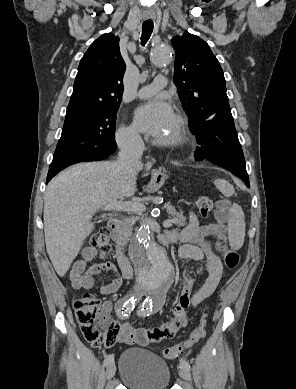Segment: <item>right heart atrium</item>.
Returning <instances> with one entry per match:
<instances>
[{
    "instance_id": "obj_1",
    "label": "right heart atrium",
    "mask_w": 296,
    "mask_h": 389,
    "mask_svg": "<svg viewBox=\"0 0 296 389\" xmlns=\"http://www.w3.org/2000/svg\"><path fill=\"white\" fill-rule=\"evenodd\" d=\"M117 142L120 147L129 149L139 143V135L132 126L123 125L117 133Z\"/></svg>"
}]
</instances>
